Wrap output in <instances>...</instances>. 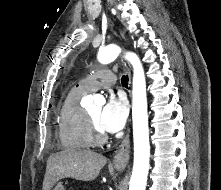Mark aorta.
<instances>
[{
    "mask_svg": "<svg viewBox=\"0 0 221 190\" xmlns=\"http://www.w3.org/2000/svg\"><path fill=\"white\" fill-rule=\"evenodd\" d=\"M121 53L117 45H109L99 50L97 58L102 64L113 62ZM133 66L132 121L134 140V163L129 190H145L149 171L150 144L147 114V94L145 74L139 57L132 52L125 54ZM90 100L102 102L103 98L94 96Z\"/></svg>",
    "mask_w": 221,
    "mask_h": 190,
    "instance_id": "1",
    "label": "aorta"
}]
</instances>
